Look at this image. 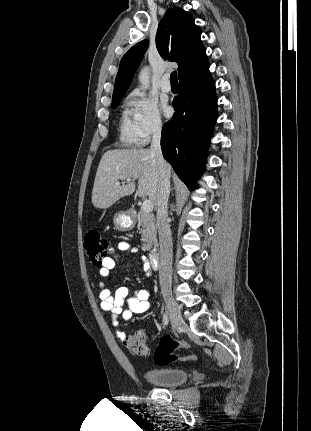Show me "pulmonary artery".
<instances>
[{"instance_id":"e3ab8cb5","label":"pulmonary artery","mask_w":311,"mask_h":431,"mask_svg":"<svg viewBox=\"0 0 311 431\" xmlns=\"http://www.w3.org/2000/svg\"><path fill=\"white\" fill-rule=\"evenodd\" d=\"M160 88L165 93H170L172 90V85L169 80V76L165 74L160 81Z\"/></svg>"}]
</instances>
